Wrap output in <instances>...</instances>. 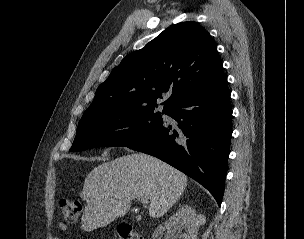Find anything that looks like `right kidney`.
<instances>
[{"label": "right kidney", "instance_id": "ca27d5eb", "mask_svg": "<svg viewBox=\"0 0 304 239\" xmlns=\"http://www.w3.org/2000/svg\"><path fill=\"white\" fill-rule=\"evenodd\" d=\"M205 222L203 216H197L195 210L184 205L176 213L170 216L163 226H160L153 236H158L163 230H167L168 239H197L199 225ZM185 232H182V231Z\"/></svg>", "mask_w": 304, "mask_h": 239}]
</instances>
